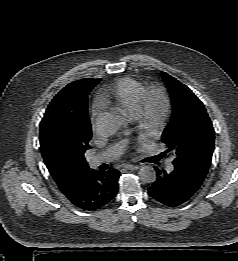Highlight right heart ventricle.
<instances>
[{
  "mask_svg": "<svg viewBox=\"0 0 238 261\" xmlns=\"http://www.w3.org/2000/svg\"><path fill=\"white\" fill-rule=\"evenodd\" d=\"M145 84L135 78L125 77L115 82L100 96L102 104H112L124 114L134 117Z\"/></svg>",
  "mask_w": 238,
  "mask_h": 261,
  "instance_id": "obj_1",
  "label": "right heart ventricle"
}]
</instances>
